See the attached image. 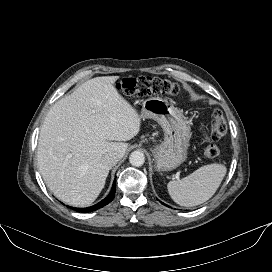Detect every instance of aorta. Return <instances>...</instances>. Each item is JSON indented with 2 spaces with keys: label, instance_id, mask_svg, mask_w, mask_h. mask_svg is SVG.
<instances>
[{
  "label": "aorta",
  "instance_id": "obj_1",
  "mask_svg": "<svg viewBox=\"0 0 272 272\" xmlns=\"http://www.w3.org/2000/svg\"><path fill=\"white\" fill-rule=\"evenodd\" d=\"M129 161L133 166H142L145 162V156L140 151H134L130 154Z\"/></svg>",
  "mask_w": 272,
  "mask_h": 272
}]
</instances>
